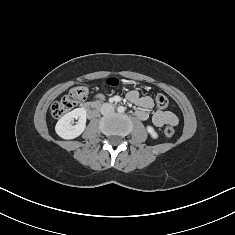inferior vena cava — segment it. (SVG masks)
<instances>
[{"mask_svg":"<svg viewBox=\"0 0 235 235\" xmlns=\"http://www.w3.org/2000/svg\"><path fill=\"white\" fill-rule=\"evenodd\" d=\"M114 111V108L111 104H103L101 109H100V112L102 115H108L110 113H112Z\"/></svg>","mask_w":235,"mask_h":235,"instance_id":"inferior-vena-cava-1","label":"inferior vena cava"}]
</instances>
